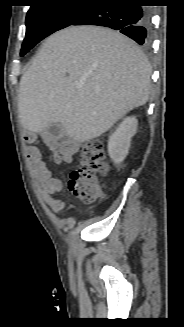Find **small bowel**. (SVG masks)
Masks as SVG:
<instances>
[{
	"label": "small bowel",
	"mask_w": 184,
	"mask_h": 327,
	"mask_svg": "<svg viewBox=\"0 0 184 327\" xmlns=\"http://www.w3.org/2000/svg\"><path fill=\"white\" fill-rule=\"evenodd\" d=\"M39 137L51 149L53 154L52 157L55 162L70 163L72 161L73 156L77 151V145L75 143H60L54 136L45 133L39 134ZM25 138L28 142H34L36 141L37 136L27 133ZM27 158L33 173L42 183V191L46 203L50 206L53 212L60 213L65 207V202L62 199L56 198L55 194L62 190V181L53 176L52 172L47 168L38 147H28Z\"/></svg>",
	"instance_id": "obj_1"
}]
</instances>
